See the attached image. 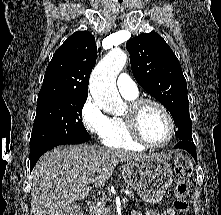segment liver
Segmentation results:
<instances>
[{
  "mask_svg": "<svg viewBox=\"0 0 221 215\" xmlns=\"http://www.w3.org/2000/svg\"><path fill=\"white\" fill-rule=\"evenodd\" d=\"M144 154L98 148L62 146L46 152L32 173L31 215H63L76 200L89 196L91 187L103 186L119 162Z\"/></svg>",
  "mask_w": 221,
  "mask_h": 215,
  "instance_id": "6515ba94",
  "label": "liver"
}]
</instances>
